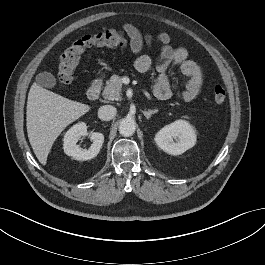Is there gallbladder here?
Instances as JSON below:
<instances>
[{
	"label": "gallbladder",
	"mask_w": 265,
	"mask_h": 265,
	"mask_svg": "<svg viewBox=\"0 0 265 265\" xmlns=\"http://www.w3.org/2000/svg\"><path fill=\"white\" fill-rule=\"evenodd\" d=\"M36 82L38 85L45 88H54L57 84L56 78L49 72H43L36 76Z\"/></svg>",
	"instance_id": "1"
}]
</instances>
